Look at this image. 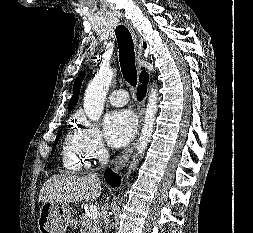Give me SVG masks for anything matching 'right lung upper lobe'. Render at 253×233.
<instances>
[{"label":"right lung upper lobe","mask_w":253,"mask_h":233,"mask_svg":"<svg viewBox=\"0 0 253 233\" xmlns=\"http://www.w3.org/2000/svg\"><path fill=\"white\" fill-rule=\"evenodd\" d=\"M143 47H146V44H143ZM85 76V72H80L78 77L75 80L74 87H73V96L70 99L69 105H68V111H71L75 105L77 104L78 97H79V90L81 86V82Z\"/></svg>","instance_id":"cb5924a9"}]
</instances>
